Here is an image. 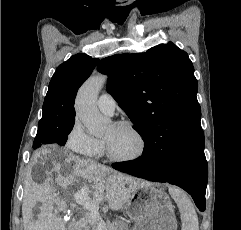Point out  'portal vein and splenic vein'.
<instances>
[{"instance_id":"1","label":"portal vein and splenic vein","mask_w":241,"mask_h":230,"mask_svg":"<svg viewBox=\"0 0 241 230\" xmlns=\"http://www.w3.org/2000/svg\"><path fill=\"white\" fill-rule=\"evenodd\" d=\"M75 201L82 205L86 210L90 212V220L94 223H97L98 227L103 230L106 227V223L102 221L99 213V204L98 200H93L88 196V190L82 189L74 195Z\"/></svg>"}]
</instances>
